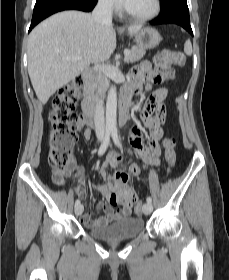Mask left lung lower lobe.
Here are the masks:
<instances>
[{"mask_svg":"<svg viewBox=\"0 0 229 280\" xmlns=\"http://www.w3.org/2000/svg\"><path fill=\"white\" fill-rule=\"evenodd\" d=\"M150 23L153 25L169 23L177 24L193 35L186 0H170L162 6L161 14Z\"/></svg>","mask_w":229,"mask_h":280,"instance_id":"1","label":"left lung lower lobe"}]
</instances>
